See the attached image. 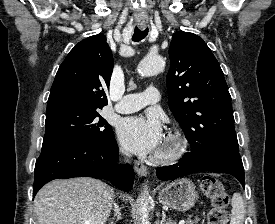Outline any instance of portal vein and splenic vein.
Here are the masks:
<instances>
[{"label":"portal vein and splenic vein","instance_id":"1","mask_svg":"<svg viewBox=\"0 0 275 224\" xmlns=\"http://www.w3.org/2000/svg\"><path fill=\"white\" fill-rule=\"evenodd\" d=\"M185 223V220H181L180 222H179V224H184ZM86 224H90V223H86Z\"/></svg>","mask_w":275,"mask_h":224}]
</instances>
